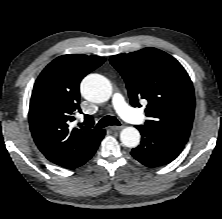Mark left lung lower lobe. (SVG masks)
<instances>
[{
  "instance_id": "1",
  "label": "left lung lower lobe",
  "mask_w": 222,
  "mask_h": 219,
  "mask_svg": "<svg viewBox=\"0 0 222 219\" xmlns=\"http://www.w3.org/2000/svg\"><path fill=\"white\" fill-rule=\"evenodd\" d=\"M140 131L141 144L131 152L132 156L147 167H157L173 161L186 143L153 131L145 125L136 126Z\"/></svg>"
}]
</instances>
